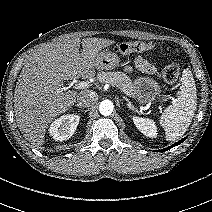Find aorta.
I'll return each instance as SVG.
<instances>
[{
    "label": "aorta",
    "mask_w": 212,
    "mask_h": 212,
    "mask_svg": "<svg viewBox=\"0 0 212 212\" xmlns=\"http://www.w3.org/2000/svg\"><path fill=\"white\" fill-rule=\"evenodd\" d=\"M114 105L110 100H104L99 105V112L103 116H109L113 112Z\"/></svg>",
    "instance_id": "1"
}]
</instances>
